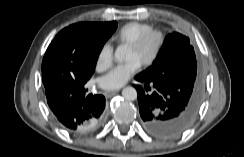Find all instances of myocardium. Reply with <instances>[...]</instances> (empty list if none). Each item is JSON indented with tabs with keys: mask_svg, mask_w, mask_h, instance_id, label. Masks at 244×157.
<instances>
[{
	"mask_svg": "<svg viewBox=\"0 0 244 157\" xmlns=\"http://www.w3.org/2000/svg\"><path fill=\"white\" fill-rule=\"evenodd\" d=\"M151 37H157L158 43L154 52L141 63V65L144 67L152 65L159 58L166 44V40H167L166 34L162 30L152 29L150 31L143 33L136 40H134L132 43L128 45V48H131L133 50L140 49L146 43V41Z\"/></svg>",
	"mask_w": 244,
	"mask_h": 157,
	"instance_id": "f54148a6",
	"label": "myocardium"
}]
</instances>
